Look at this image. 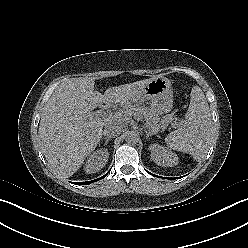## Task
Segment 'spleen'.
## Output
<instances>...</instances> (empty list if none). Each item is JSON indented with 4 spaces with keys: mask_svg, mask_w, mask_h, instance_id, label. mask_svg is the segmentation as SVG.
<instances>
[{
    "mask_svg": "<svg viewBox=\"0 0 248 248\" xmlns=\"http://www.w3.org/2000/svg\"><path fill=\"white\" fill-rule=\"evenodd\" d=\"M190 96L183 126L168 134L165 143L171 149L189 153L199 161L208 150L212 121L208 103L200 87L194 86Z\"/></svg>",
    "mask_w": 248,
    "mask_h": 248,
    "instance_id": "3e777b00",
    "label": "spleen"
}]
</instances>
